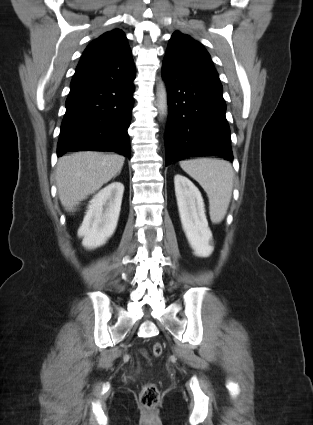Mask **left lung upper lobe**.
<instances>
[{"mask_svg": "<svg viewBox=\"0 0 313 425\" xmlns=\"http://www.w3.org/2000/svg\"><path fill=\"white\" fill-rule=\"evenodd\" d=\"M164 59L191 74L219 79L210 55L202 44L179 31L172 35Z\"/></svg>", "mask_w": 313, "mask_h": 425, "instance_id": "obj_1", "label": "left lung upper lobe"}]
</instances>
